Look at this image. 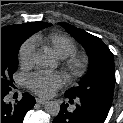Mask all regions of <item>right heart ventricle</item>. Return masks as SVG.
Instances as JSON below:
<instances>
[{"instance_id":"1","label":"right heart ventricle","mask_w":123,"mask_h":123,"mask_svg":"<svg viewBox=\"0 0 123 123\" xmlns=\"http://www.w3.org/2000/svg\"><path fill=\"white\" fill-rule=\"evenodd\" d=\"M35 44H43L50 48L59 58H67L77 51L76 43L72 38L61 33L48 35L38 34L32 38Z\"/></svg>"}]
</instances>
